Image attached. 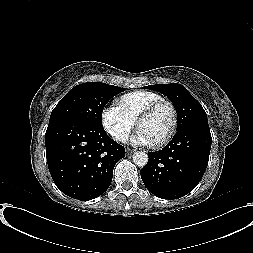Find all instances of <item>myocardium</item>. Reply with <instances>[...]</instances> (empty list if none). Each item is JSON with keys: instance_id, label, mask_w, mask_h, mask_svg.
<instances>
[{"instance_id": "1", "label": "myocardium", "mask_w": 253, "mask_h": 253, "mask_svg": "<svg viewBox=\"0 0 253 253\" xmlns=\"http://www.w3.org/2000/svg\"><path fill=\"white\" fill-rule=\"evenodd\" d=\"M163 106L168 107L169 110L171 111L172 124H171V127H170L169 131L167 132V134L161 140L152 144V146L156 147V148L162 147V146L166 145L167 143H169L177 131L179 118H178V112H177L175 106L170 101L162 99V100L156 101V102L148 105L146 108H144L140 112V114L138 115V117L136 119V127L138 128L139 124L142 120L149 117L157 109H159Z\"/></svg>"}]
</instances>
